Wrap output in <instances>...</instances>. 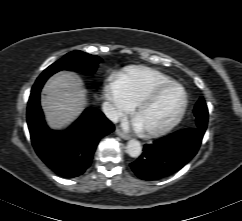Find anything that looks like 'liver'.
<instances>
[{"instance_id": "liver-1", "label": "liver", "mask_w": 242, "mask_h": 221, "mask_svg": "<svg viewBox=\"0 0 242 221\" xmlns=\"http://www.w3.org/2000/svg\"><path fill=\"white\" fill-rule=\"evenodd\" d=\"M41 106L51 129L59 130L75 121L87 105L82 80L71 72L51 77L43 88Z\"/></svg>"}]
</instances>
